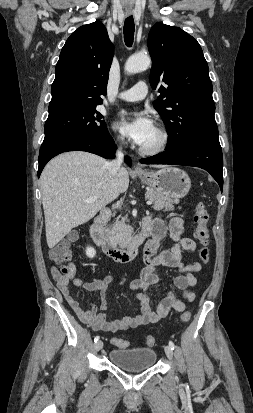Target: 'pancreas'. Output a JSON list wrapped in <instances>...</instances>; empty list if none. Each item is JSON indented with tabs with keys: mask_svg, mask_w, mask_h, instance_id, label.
<instances>
[{
	"mask_svg": "<svg viewBox=\"0 0 253 413\" xmlns=\"http://www.w3.org/2000/svg\"><path fill=\"white\" fill-rule=\"evenodd\" d=\"M146 198L154 202L153 208L155 210L172 211L174 210V204H178V199H171L169 196L158 193L153 189H148ZM127 216L121 217V220H116L114 225L107 229V232L111 236V241L119 246H123L125 243V237L130 234L131 229L126 224Z\"/></svg>",
	"mask_w": 253,
	"mask_h": 413,
	"instance_id": "cf45deb5",
	"label": "pancreas"
}]
</instances>
